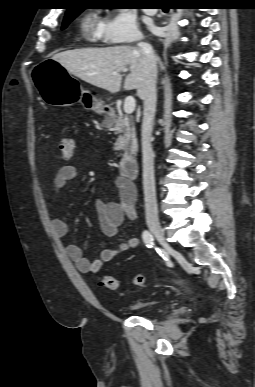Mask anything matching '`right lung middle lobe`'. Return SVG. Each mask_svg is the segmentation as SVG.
<instances>
[{"label": "right lung middle lobe", "instance_id": "right-lung-middle-lobe-1", "mask_svg": "<svg viewBox=\"0 0 255 387\" xmlns=\"http://www.w3.org/2000/svg\"><path fill=\"white\" fill-rule=\"evenodd\" d=\"M83 10L81 7H76L74 9H71L70 11L66 12V15L64 17V21L62 24V29H65L68 24L75 19L79 15V13Z\"/></svg>", "mask_w": 255, "mask_h": 387}]
</instances>
